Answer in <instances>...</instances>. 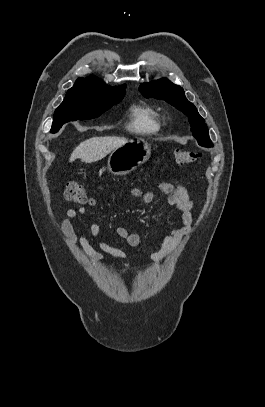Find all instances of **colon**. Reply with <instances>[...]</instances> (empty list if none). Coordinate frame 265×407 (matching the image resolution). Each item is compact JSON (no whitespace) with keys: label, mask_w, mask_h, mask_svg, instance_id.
I'll use <instances>...</instances> for the list:
<instances>
[{"label":"colon","mask_w":265,"mask_h":407,"mask_svg":"<svg viewBox=\"0 0 265 407\" xmlns=\"http://www.w3.org/2000/svg\"><path fill=\"white\" fill-rule=\"evenodd\" d=\"M176 163L179 165H189L194 163L200 156V154L194 150H180L174 151ZM64 198L74 204H88L91 199L84 186L75 182H69L66 184L64 192Z\"/></svg>","instance_id":"colon-1"}]
</instances>
